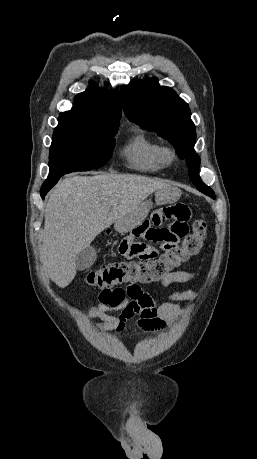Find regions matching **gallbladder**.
<instances>
[{
	"label": "gallbladder",
	"instance_id": "obj_1",
	"mask_svg": "<svg viewBox=\"0 0 257 459\" xmlns=\"http://www.w3.org/2000/svg\"><path fill=\"white\" fill-rule=\"evenodd\" d=\"M97 252L94 247H87L76 255L75 262L78 270L91 267L96 260Z\"/></svg>",
	"mask_w": 257,
	"mask_h": 459
}]
</instances>
